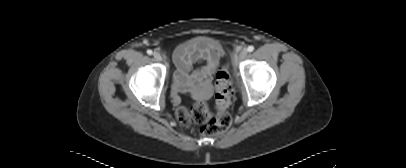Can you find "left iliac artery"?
<instances>
[{
    "instance_id": "1",
    "label": "left iliac artery",
    "mask_w": 406,
    "mask_h": 168,
    "mask_svg": "<svg viewBox=\"0 0 406 168\" xmlns=\"http://www.w3.org/2000/svg\"><path fill=\"white\" fill-rule=\"evenodd\" d=\"M253 50H254V46H252V45L248 46V48H247L248 52H253Z\"/></svg>"
}]
</instances>
